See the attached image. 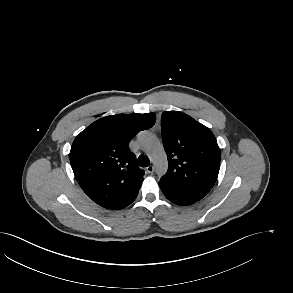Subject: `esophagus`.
Wrapping results in <instances>:
<instances>
[{
	"mask_svg": "<svg viewBox=\"0 0 293 293\" xmlns=\"http://www.w3.org/2000/svg\"><path fill=\"white\" fill-rule=\"evenodd\" d=\"M146 172L152 174L154 172V166L150 165L146 168Z\"/></svg>",
	"mask_w": 293,
	"mask_h": 293,
	"instance_id": "esophagus-1",
	"label": "esophagus"
}]
</instances>
